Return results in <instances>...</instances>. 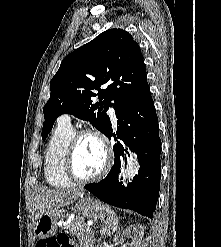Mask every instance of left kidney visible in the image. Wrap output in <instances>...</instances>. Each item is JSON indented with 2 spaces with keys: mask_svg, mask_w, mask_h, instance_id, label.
<instances>
[{
  "mask_svg": "<svg viewBox=\"0 0 221 247\" xmlns=\"http://www.w3.org/2000/svg\"><path fill=\"white\" fill-rule=\"evenodd\" d=\"M144 235V228L140 224H134L128 227L121 235L114 238L116 244L120 247H141L142 238ZM125 237H130L131 242L125 244Z\"/></svg>",
  "mask_w": 221,
  "mask_h": 247,
  "instance_id": "left-kidney-1",
  "label": "left kidney"
}]
</instances>
